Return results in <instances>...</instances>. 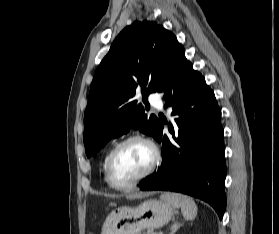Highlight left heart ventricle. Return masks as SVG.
I'll return each mask as SVG.
<instances>
[{
    "instance_id": "left-heart-ventricle-1",
    "label": "left heart ventricle",
    "mask_w": 279,
    "mask_h": 234,
    "mask_svg": "<svg viewBox=\"0 0 279 234\" xmlns=\"http://www.w3.org/2000/svg\"><path fill=\"white\" fill-rule=\"evenodd\" d=\"M152 160V151L144 143L134 141L122 147L116 154L111 168L117 183L130 182L142 174Z\"/></svg>"
}]
</instances>
